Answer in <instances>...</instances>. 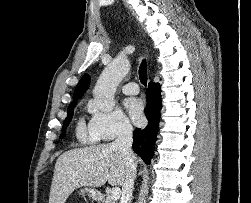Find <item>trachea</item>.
<instances>
[{
  "instance_id": "obj_1",
  "label": "trachea",
  "mask_w": 251,
  "mask_h": 203,
  "mask_svg": "<svg viewBox=\"0 0 251 203\" xmlns=\"http://www.w3.org/2000/svg\"><path fill=\"white\" fill-rule=\"evenodd\" d=\"M139 78H140V81L141 83L146 86L147 85V64H146V61L143 60L141 65H140V68H139Z\"/></svg>"
}]
</instances>
